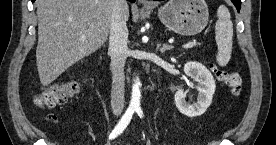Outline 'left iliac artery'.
Wrapping results in <instances>:
<instances>
[{"instance_id":"obj_1","label":"left iliac artery","mask_w":276,"mask_h":145,"mask_svg":"<svg viewBox=\"0 0 276 145\" xmlns=\"http://www.w3.org/2000/svg\"><path fill=\"white\" fill-rule=\"evenodd\" d=\"M135 111L137 112V114L139 115L140 118L143 117V111H142L141 107H137V108L135 109Z\"/></svg>"}]
</instances>
